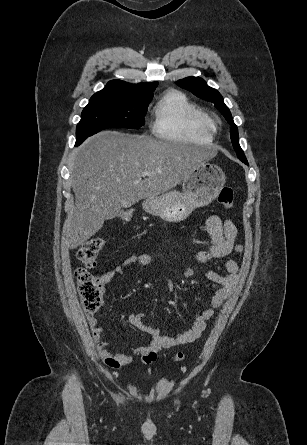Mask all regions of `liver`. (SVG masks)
Listing matches in <instances>:
<instances>
[{"label": "liver", "instance_id": "1", "mask_svg": "<svg viewBox=\"0 0 307 445\" xmlns=\"http://www.w3.org/2000/svg\"><path fill=\"white\" fill-rule=\"evenodd\" d=\"M205 160L206 150L194 144L119 130L97 132L76 150L72 180L75 206L64 225L62 247L77 249L98 233L105 218L118 216L121 208L141 198L168 192ZM144 170L155 174L143 180Z\"/></svg>", "mask_w": 307, "mask_h": 445}]
</instances>
